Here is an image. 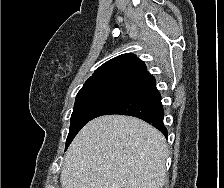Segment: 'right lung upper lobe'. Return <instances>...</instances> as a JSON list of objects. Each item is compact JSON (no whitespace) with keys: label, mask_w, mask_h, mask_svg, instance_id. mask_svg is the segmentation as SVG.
Masks as SVG:
<instances>
[{"label":"right lung upper lobe","mask_w":224,"mask_h":188,"mask_svg":"<svg viewBox=\"0 0 224 188\" xmlns=\"http://www.w3.org/2000/svg\"><path fill=\"white\" fill-rule=\"evenodd\" d=\"M146 70L147 67L143 61L134 54L127 53L104 63L86 82L113 78L133 80Z\"/></svg>","instance_id":"right-lung-upper-lobe-1"}]
</instances>
